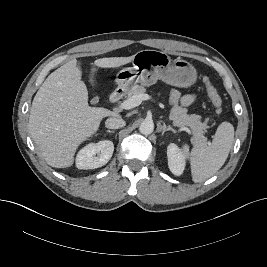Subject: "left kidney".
<instances>
[{
  "label": "left kidney",
  "instance_id": "obj_1",
  "mask_svg": "<svg viewBox=\"0 0 267 267\" xmlns=\"http://www.w3.org/2000/svg\"><path fill=\"white\" fill-rule=\"evenodd\" d=\"M168 167L170 171L180 176L185 169V155L174 143H171L167 147Z\"/></svg>",
  "mask_w": 267,
  "mask_h": 267
}]
</instances>
